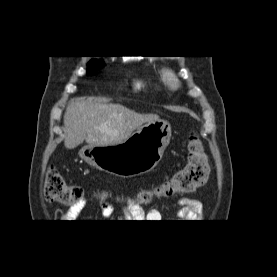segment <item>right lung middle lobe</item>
Returning <instances> with one entry per match:
<instances>
[{"instance_id":"1","label":"right lung middle lobe","mask_w":277,"mask_h":277,"mask_svg":"<svg viewBox=\"0 0 277 277\" xmlns=\"http://www.w3.org/2000/svg\"><path fill=\"white\" fill-rule=\"evenodd\" d=\"M104 65L102 61L91 60L88 63V74H93V70L99 69Z\"/></svg>"}]
</instances>
